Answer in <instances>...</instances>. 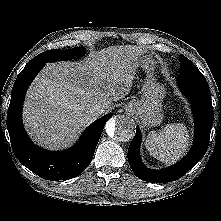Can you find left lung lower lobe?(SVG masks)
Wrapping results in <instances>:
<instances>
[{
  "instance_id": "obj_1",
  "label": "left lung lower lobe",
  "mask_w": 221,
  "mask_h": 221,
  "mask_svg": "<svg viewBox=\"0 0 221 221\" xmlns=\"http://www.w3.org/2000/svg\"><path fill=\"white\" fill-rule=\"evenodd\" d=\"M182 93L191 102L195 121V138L187 156L179 163L163 169L151 170L140 159L142 135L137 127L136 135L128 149V161L134 174L143 181L165 183L175 181L192 169L207 151L213 125V107L206 79L177 80Z\"/></svg>"
}]
</instances>
